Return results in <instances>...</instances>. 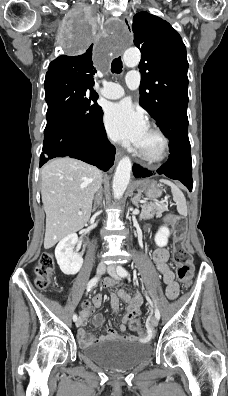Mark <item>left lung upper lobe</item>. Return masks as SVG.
<instances>
[{
	"mask_svg": "<svg viewBox=\"0 0 228 396\" xmlns=\"http://www.w3.org/2000/svg\"><path fill=\"white\" fill-rule=\"evenodd\" d=\"M134 44L142 52L140 105L157 121L175 106L188 104V61L179 33L148 12L133 17Z\"/></svg>",
	"mask_w": 228,
	"mask_h": 396,
	"instance_id": "1",
	"label": "left lung upper lobe"
}]
</instances>
